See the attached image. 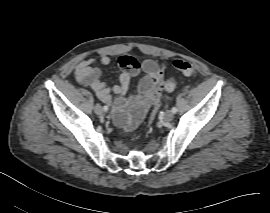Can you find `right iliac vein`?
Masks as SVG:
<instances>
[{
  "label": "right iliac vein",
  "instance_id": "1",
  "mask_svg": "<svg viewBox=\"0 0 270 213\" xmlns=\"http://www.w3.org/2000/svg\"><path fill=\"white\" fill-rule=\"evenodd\" d=\"M94 111H95L96 114L100 115V114L102 113V108H101V106H100L99 104H96V105L94 106Z\"/></svg>",
  "mask_w": 270,
  "mask_h": 213
}]
</instances>
